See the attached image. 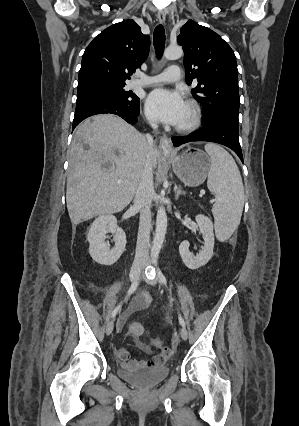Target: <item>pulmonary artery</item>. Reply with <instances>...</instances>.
<instances>
[{
  "mask_svg": "<svg viewBox=\"0 0 299 426\" xmlns=\"http://www.w3.org/2000/svg\"><path fill=\"white\" fill-rule=\"evenodd\" d=\"M181 79V69L179 66L172 65L165 69L162 73L154 76H141L135 80L134 86H153L163 83L176 82Z\"/></svg>",
  "mask_w": 299,
  "mask_h": 426,
  "instance_id": "pulmonary-artery-1",
  "label": "pulmonary artery"
}]
</instances>
